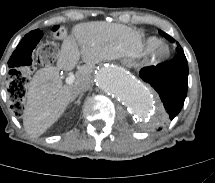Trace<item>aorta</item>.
<instances>
[{"label":"aorta","instance_id":"obj_1","mask_svg":"<svg viewBox=\"0 0 215 183\" xmlns=\"http://www.w3.org/2000/svg\"><path fill=\"white\" fill-rule=\"evenodd\" d=\"M97 87L118 99L141 120L155 122L160 115L153 97L135 77L116 66H102L94 76Z\"/></svg>","mask_w":215,"mask_h":183}]
</instances>
